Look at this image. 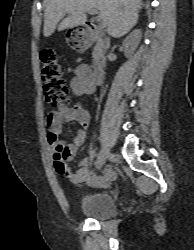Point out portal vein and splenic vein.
<instances>
[{"instance_id":"portal-vein-and-splenic-vein-1","label":"portal vein and splenic vein","mask_w":194,"mask_h":250,"mask_svg":"<svg viewBox=\"0 0 194 250\" xmlns=\"http://www.w3.org/2000/svg\"><path fill=\"white\" fill-rule=\"evenodd\" d=\"M87 12L89 14H91V15H96L97 14V11L94 10V9L88 10ZM97 21L99 22L100 27H102V28L105 27V22L100 16L97 17Z\"/></svg>"}]
</instances>
